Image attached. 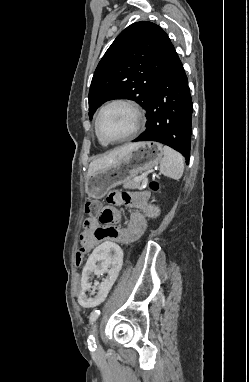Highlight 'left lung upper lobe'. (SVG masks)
I'll return each instance as SVG.
<instances>
[{"label":"left lung upper lobe","instance_id":"obj_1","mask_svg":"<svg viewBox=\"0 0 249 382\" xmlns=\"http://www.w3.org/2000/svg\"><path fill=\"white\" fill-rule=\"evenodd\" d=\"M176 51L158 25L140 21L124 29L99 62L89 90V117L104 102L125 98L145 110Z\"/></svg>","mask_w":249,"mask_h":382}]
</instances>
